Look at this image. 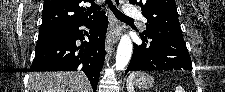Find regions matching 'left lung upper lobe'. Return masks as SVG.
Returning <instances> with one entry per match:
<instances>
[{
  "label": "left lung upper lobe",
  "mask_w": 225,
  "mask_h": 92,
  "mask_svg": "<svg viewBox=\"0 0 225 92\" xmlns=\"http://www.w3.org/2000/svg\"><path fill=\"white\" fill-rule=\"evenodd\" d=\"M139 5L147 18L144 35L156 34L183 39L175 0H129Z\"/></svg>",
  "instance_id": "5c2ea615"
}]
</instances>
